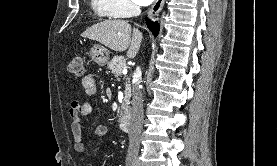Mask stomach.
<instances>
[{
	"mask_svg": "<svg viewBox=\"0 0 277 166\" xmlns=\"http://www.w3.org/2000/svg\"><path fill=\"white\" fill-rule=\"evenodd\" d=\"M89 54L92 61L99 66H105L109 61V51L101 45H94Z\"/></svg>",
	"mask_w": 277,
	"mask_h": 166,
	"instance_id": "obj_1",
	"label": "stomach"
}]
</instances>
